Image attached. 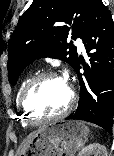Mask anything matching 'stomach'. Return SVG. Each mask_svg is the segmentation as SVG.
I'll use <instances>...</instances> for the list:
<instances>
[{"instance_id": "0dacf381", "label": "stomach", "mask_w": 114, "mask_h": 156, "mask_svg": "<svg viewBox=\"0 0 114 156\" xmlns=\"http://www.w3.org/2000/svg\"><path fill=\"white\" fill-rule=\"evenodd\" d=\"M88 128L80 121H62L43 127L23 156H73L87 141Z\"/></svg>"}]
</instances>
